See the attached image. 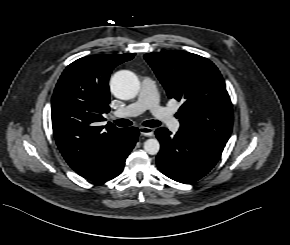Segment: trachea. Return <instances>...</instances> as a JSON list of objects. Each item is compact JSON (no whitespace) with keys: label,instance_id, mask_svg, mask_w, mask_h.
<instances>
[{"label":"trachea","instance_id":"trachea-1","mask_svg":"<svg viewBox=\"0 0 290 245\" xmlns=\"http://www.w3.org/2000/svg\"><path fill=\"white\" fill-rule=\"evenodd\" d=\"M120 127H126L132 125V122L128 119H119L114 121ZM144 126L147 127H158L161 123L158 120H147L143 122Z\"/></svg>","mask_w":290,"mask_h":245}]
</instances>
